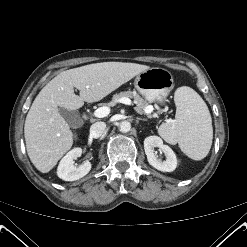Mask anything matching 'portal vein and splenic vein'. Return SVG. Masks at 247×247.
<instances>
[{
	"mask_svg": "<svg viewBox=\"0 0 247 247\" xmlns=\"http://www.w3.org/2000/svg\"><path fill=\"white\" fill-rule=\"evenodd\" d=\"M118 102L123 103L125 105H131L132 101L129 98L123 97L118 100ZM153 110L152 106H149V109L146 110V113H151ZM110 113V108L107 106L99 107L94 111V116L97 118H103L106 117Z\"/></svg>",
	"mask_w": 247,
	"mask_h": 247,
	"instance_id": "18ae733b",
	"label": "portal vein and splenic vein"
}]
</instances>
